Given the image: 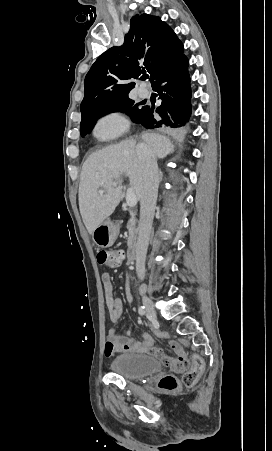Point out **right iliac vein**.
<instances>
[{"instance_id":"1","label":"right iliac vein","mask_w":272,"mask_h":451,"mask_svg":"<svg viewBox=\"0 0 272 451\" xmlns=\"http://www.w3.org/2000/svg\"><path fill=\"white\" fill-rule=\"evenodd\" d=\"M143 304H144V307L146 308L147 313L151 317H156V311L154 308V304H153L152 300L146 294L143 295Z\"/></svg>"}]
</instances>
